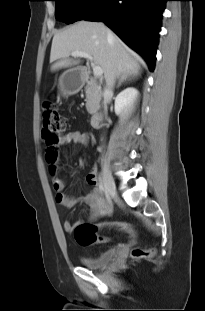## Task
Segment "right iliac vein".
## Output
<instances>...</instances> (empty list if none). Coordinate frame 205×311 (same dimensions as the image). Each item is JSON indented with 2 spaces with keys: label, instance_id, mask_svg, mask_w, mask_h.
I'll use <instances>...</instances> for the list:
<instances>
[{
  "label": "right iliac vein",
  "instance_id": "right-iliac-vein-1",
  "mask_svg": "<svg viewBox=\"0 0 205 311\" xmlns=\"http://www.w3.org/2000/svg\"><path fill=\"white\" fill-rule=\"evenodd\" d=\"M103 182H104V186H105V190L107 194L110 197L115 198L117 196L115 182L110 173L109 167L107 166L105 162L103 163Z\"/></svg>",
  "mask_w": 205,
  "mask_h": 311
}]
</instances>
